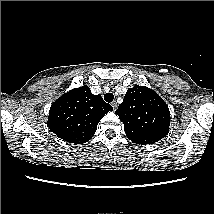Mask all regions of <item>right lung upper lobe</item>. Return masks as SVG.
<instances>
[{
  "label": "right lung upper lobe",
  "mask_w": 214,
  "mask_h": 214,
  "mask_svg": "<svg viewBox=\"0 0 214 214\" xmlns=\"http://www.w3.org/2000/svg\"><path fill=\"white\" fill-rule=\"evenodd\" d=\"M113 110L88 86L74 88L59 97L50 107L47 126L64 141L83 144L93 137L99 121Z\"/></svg>",
  "instance_id": "cb5924a9"
}]
</instances>
